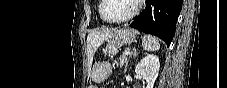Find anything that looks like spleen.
Wrapping results in <instances>:
<instances>
[{"label":"spleen","instance_id":"obj_1","mask_svg":"<svg viewBox=\"0 0 227 88\" xmlns=\"http://www.w3.org/2000/svg\"><path fill=\"white\" fill-rule=\"evenodd\" d=\"M142 47L146 51H157L160 49V43L156 37L144 35L142 38Z\"/></svg>","mask_w":227,"mask_h":88}]
</instances>
